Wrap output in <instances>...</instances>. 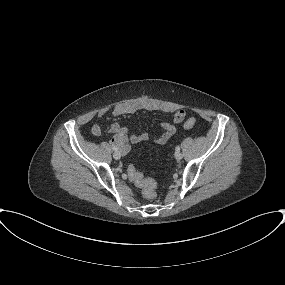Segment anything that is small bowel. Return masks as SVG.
Listing matches in <instances>:
<instances>
[{"instance_id":"c3829d8e","label":"small bowel","mask_w":285,"mask_h":285,"mask_svg":"<svg viewBox=\"0 0 285 285\" xmlns=\"http://www.w3.org/2000/svg\"><path fill=\"white\" fill-rule=\"evenodd\" d=\"M139 110H148V111H159L160 107L150 101L143 100V99H134L128 102L120 103L115 105L111 110L110 113L114 117H119L127 114H132ZM183 114L181 119L177 118L179 113ZM106 111H101L100 116L105 115ZM185 118V112L180 110L176 112L174 117V123L178 124L181 123ZM163 129V133L154 138V143L157 145L165 144L171 136L175 133L176 127L174 124L169 122H164L161 124ZM91 132L94 136H99L102 133V126L100 124H95ZM109 132L113 134V138L111 139V144L118 147L122 153L127 154L130 151V143H142L149 139L148 134L140 133V134H132L130 135L127 129L119 122H115L111 124L109 128Z\"/></svg>"}]
</instances>
